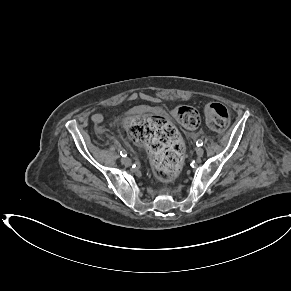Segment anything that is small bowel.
<instances>
[{
  "mask_svg": "<svg viewBox=\"0 0 291 291\" xmlns=\"http://www.w3.org/2000/svg\"><path fill=\"white\" fill-rule=\"evenodd\" d=\"M91 120L96 124H100L103 120V117L99 113H94L91 115Z\"/></svg>",
  "mask_w": 291,
  "mask_h": 291,
  "instance_id": "small-bowel-1",
  "label": "small bowel"
}]
</instances>
